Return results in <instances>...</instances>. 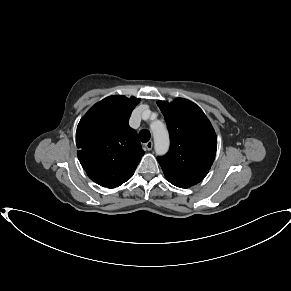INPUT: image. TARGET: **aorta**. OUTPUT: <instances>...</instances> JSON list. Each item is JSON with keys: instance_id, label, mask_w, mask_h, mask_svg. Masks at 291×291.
<instances>
[{"instance_id": "obj_1", "label": "aorta", "mask_w": 291, "mask_h": 291, "mask_svg": "<svg viewBox=\"0 0 291 291\" xmlns=\"http://www.w3.org/2000/svg\"><path fill=\"white\" fill-rule=\"evenodd\" d=\"M154 136L155 152L163 155L169 148V135L165 125L161 121H156L151 125Z\"/></svg>"}]
</instances>
